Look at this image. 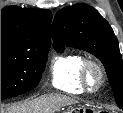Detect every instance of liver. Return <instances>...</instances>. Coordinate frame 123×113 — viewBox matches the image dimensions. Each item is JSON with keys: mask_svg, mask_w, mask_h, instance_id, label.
Segmentation results:
<instances>
[{"mask_svg": "<svg viewBox=\"0 0 123 113\" xmlns=\"http://www.w3.org/2000/svg\"><path fill=\"white\" fill-rule=\"evenodd\" d=\"M73 102L72 99L60 95L41 96L31 101L12 105L6 110L1 108V113H54Z\"/></svg>", "mask_w": 123, "mask_h": 113, "instance_id": "obj_1", "label": "liver"}]
</instances>
